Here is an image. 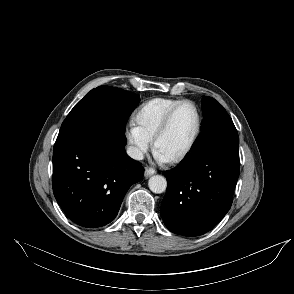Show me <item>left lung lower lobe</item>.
Here are the masks:
<instances>
[{"label":"left lung lower lobe","instance_id":"1","mask_svg":"<svg viewBox=\"0 0 294 294\" xmlns=\"http://www.w3.org/2000/svg\"><path fill=\"white\" fill-rule=\"evenodd\" d=\"M239 136L235 127L202 133L188 158L167 170L161 217L173 233L198 236L229 211L239 177Z\"/></svg>","mask_w":294,"mask_h":294}]
</instances>
